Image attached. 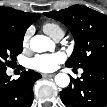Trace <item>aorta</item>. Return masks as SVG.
<instances>
[{"mask_svg":"<svg viewBox=\"0 0 107 107\" xmlns=\"http://www.w3.org/2000/svg\"><path fill=\"white\" fill-rule=\"evenodd\" d=\"M30 48L37 53L46 52L54 48V42L47 36L35 35L30 40ZM55 83L61 88H65L70 83V77L66 73H58L55 76Z\"/></svg>","mask_w":107,"mask_h":107,"instance_id":"1","label":"aorta"}]
</instances>
